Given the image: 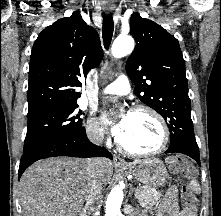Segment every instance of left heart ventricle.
<instances>
[{
	"label": "left heart ventricle",
	"instance_id": "left-heart-ventricle-1",
	"mask_svg": "<svg viewBox=\"0 0 221 216\" xmlns=\"http://www.w3.org/2000/svg\"><path fill=\"white\" fill-rule=\"evenodd\" d=\"M162 132L158 122L144 112L130 113L122 137L126 147L136 151H150L161 142Z\"/></svg>",
	"mask_w": 221,
	"mask_h": 216
}]
</instances>
